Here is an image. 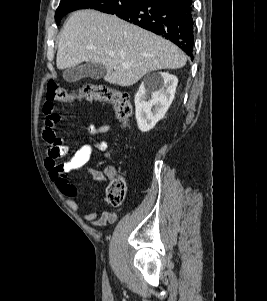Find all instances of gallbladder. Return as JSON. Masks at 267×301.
Listing matches in <instances>:
<instances>
[{
	"mask_svg": "<svg viewBox=\"0 0 267 301\" xmlns=\"http://www.w3.org/2000/svg\"><path fill=\"white\" fill-rule=\"evenodd\" d=\"M106 73V67L103 64L86 62L76 67L68 68L63 73V78L67 82H76L82 78L100 79Z\"/></svg>",
	"mask_w": 267,
	"mask_h": 301,
	"instance_id": "bac80fb5",
	"label": "gallbladder"
}]
</instances>
